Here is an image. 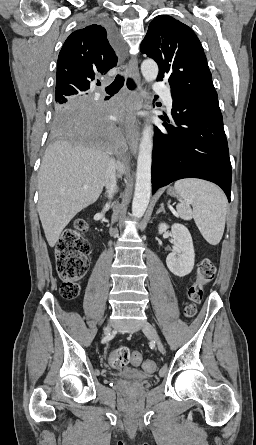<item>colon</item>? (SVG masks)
<instances>
[{
  "instance_id": "obj_1",
  "label": "colon",
  "mask_w": 256,
  "mask_h": 445,
  "mask_svg": "<svg viewBox=\"0 0 256 445\" xmlns=\"http://www.w3.org/2000/svg\"><path fill=\"white\" fill-rule=\"evenodd\" d=\"M86 228L87 224L84 219H76L71 227L63 231L56 245V268L63 281L60 293L63 298L68 300L78 297L80 291L78 282L88 268L87 254L90 246L83 237ZM215 276L216 268L213 262L208 258L203 259L198 265L196 281L188 289L189 305L185 308L187 318L195 315V305L201 301L204 287L211 283ZM130 361L134 365L141 364V353H131L127 347H119L110 352L108 356L109 365L117 369L125 367ZM144 369L148 373L154 372L155 362L153 360L145 361Z\"/></svg>"
}]
</instances>
